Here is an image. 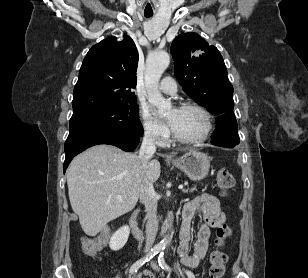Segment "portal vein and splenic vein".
Instances as JSON below:
<instances>
[{
	"label": "portal vein and splenic vein",
	"instance_id": "18ae733b",
	"mask_svg": "<svg viewBox=\"0 0 308 278\" xmlns=\"http://www.w3.org/2000/svg\"><path fill=\"white\" fill-rule=\"evenodd\" d=\"M178 188H179L180 190H183V189H184L183 185H179ZM117 198H118V199H121L122 197H121V196H117Z\"/></svg>",
	"mask_w": 308,
	"mask_h": 278
}]
</instances>
